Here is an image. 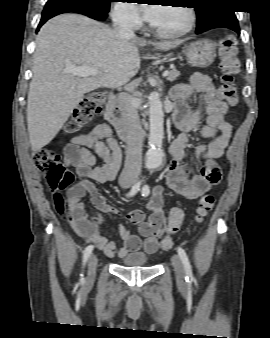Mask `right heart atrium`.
Returning <instances> with one entry per match:
<instances>
[{"instance_id":"d8ad5b80","label":"right heart atrium","mask_w":270,"mask_h":338,"mask_svg":"<svg viewBox=\"0 0 270 338\" xmlns=\"http://www.w3.org/2000/svg\"><path fill=\"white\" fill-rule=\"evenodd\" d=\"M114 20L116 23L132 28L141 25V18L133 7L127 2L117 4L113 11Z\"/></svg>"}]
</instances>
